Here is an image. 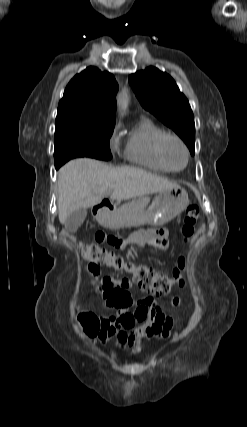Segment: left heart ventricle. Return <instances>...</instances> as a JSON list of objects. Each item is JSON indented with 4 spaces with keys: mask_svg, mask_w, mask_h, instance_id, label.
<instances>
[{
    "mask_svg": "<svg viewBox=\"0 0 247 427\" xmlns=\"http://www.w3.org/2000/svg\"><path fill=\"white\" fill-rule=\"evenodd\" d=\"M166 155L170 164L175 168H181L185 163L184 150L175 141H170L167 143Z\"/></svg>",
    "mask_w": 247,
    "mask_h": 427,
    "instance_id": "1",
    "label": "left heart ventricle"
}]
</instances>
